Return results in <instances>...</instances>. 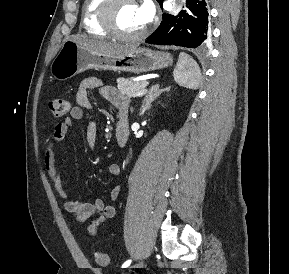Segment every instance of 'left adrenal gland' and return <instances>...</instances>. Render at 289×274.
I'll return each mask as SVG.
<instances>
[{
	"instance_id": "a2214340",
	"label": "left adrenal gland",
	"mask_w": 289,
	"mask_h": 274,
	"mask_svg": "<svg viewBox=\"0 0 289 274\" xmlns=\"http://www.w3.org/2000/svg\"><path fill=\"white\" fill-rule=\"evenodd\" d=\"M170 88H171L170 86L166 88H160V85L158 84L152 86L143 100L140 109V115H143L146 110L151 108L152 103L161 95V93L168 92Z\"/></svg>"
}]
</instances>
